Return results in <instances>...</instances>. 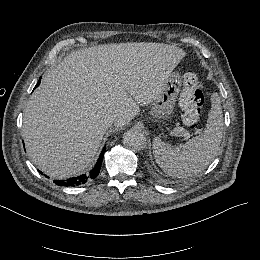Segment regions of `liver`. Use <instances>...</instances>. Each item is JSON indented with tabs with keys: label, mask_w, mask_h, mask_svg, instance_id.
I'll use <instances>...</instances> for the list:
<instances>
[{
	"label": "liver",
	"mask_w": 260,
	"mask_h": 260,
	"mask_svg": "<svg viewBox=\"0 0 260 260\" xmlns=\"http://www.w3.org/2000/svg\"><path fill=\"white\" fill-rule=\"evenodd\" d=\"M186 56L172 45L123 43L72 52L42 79L24 111L22 137L34 164L63 179L93 161L107 120L123 127L154 102Z\"/></svg>",
	"instance_id": "obj_1"
}]
</instances>
